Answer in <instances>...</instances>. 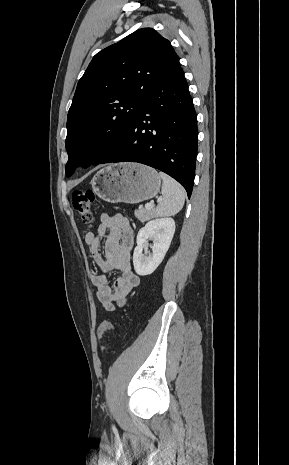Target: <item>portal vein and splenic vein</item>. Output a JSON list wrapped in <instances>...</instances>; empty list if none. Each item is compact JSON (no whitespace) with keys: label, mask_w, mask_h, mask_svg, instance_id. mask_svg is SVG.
I'll use <instances>...</instances> for the list:
<instances>
[{"label":"portal vein and splenic vein","mask_w":289,"mask_h":465,"mask_svg":"<svg viewBox=\"0 0 289 465\" xmlns=\"http://www.w3.org/2000/svg\"><path fill=\"white\" fill-rule=\"evenodd\" d=\"M154 207V204L153 203H147L145 205V209L149 210V209H152Z\"/></svg>","instance_id":"portal-vein-and-splenic-vein-1"}]
</instances>
